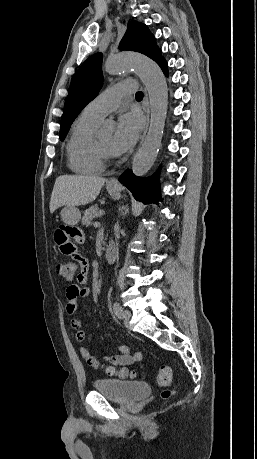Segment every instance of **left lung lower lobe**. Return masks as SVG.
<instances>
[{
  "mask_svg": "<svg viewBox=\"0 0 257 459\" xmlns=\"http://www.w3.org/2000/svg\"><path fill=\"white\" fill-rule=\"evenodd\" d=\"M165 75L168 74L167 62L163 58L158 62ZM157 173L147 179L135 176L131 170H126L119 178V181L126 186L133 194L134 198L144 204L158 202L161 200L159 196V183L157 181Z\"/></svg>",
  "mask_w": 257,
  "mask_h": 459,
  "instance_id": "left-lung-lower-lobe-1",
  "label": "left lung lower lobe"
}]
</instances>
